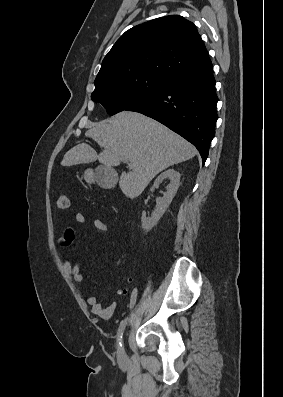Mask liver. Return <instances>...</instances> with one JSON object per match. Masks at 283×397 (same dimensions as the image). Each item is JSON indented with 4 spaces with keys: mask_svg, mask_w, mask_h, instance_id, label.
<instances>
[{
    "mask_svg": "<svg viewBox=\"0 0 283 397\" xmlns=\"http://www.w3.org/2000/svg\"><path fill=\"white\" fill-rule=\"evenodd\" d=\"M85 136L103 150L97 154L88 144H78L64 155L61 165L98 160L112 168L127 160L130 171L122 172L119 187L130 198L138 197L162 170L197 154L196 148L184 138L137 112H120L88 130Z\"/></svg>",
    "mask_w": 283,
    "mask_h": 397,
    "instance_id": "liver-1",
    "label": "liver"
}]
</instances>
